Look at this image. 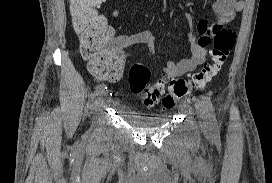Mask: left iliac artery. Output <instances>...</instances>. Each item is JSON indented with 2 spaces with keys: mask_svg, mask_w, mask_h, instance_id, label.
Instances as JSON below:
<instances>
[{
  "mask_svg": "<svg viewBox=\"0 0 272 183\" xmlns=\"http://www.w3.org/2000/svg\"><path fill=\"white\" fill-rule=\"evenodd\" d=\"M203 99V103L205 105V108L207 110L208 113V118L210 120V125H211V129L213 131V133L215 135H218L219 133V128H218V123L216 120V114H215V110H214V106L211 102V100L208 97H202Z\"/></svg>",
  "mask_w": 272,
  "mask_h": 183,
  "instance_id": "44dca946",
  "label": "left iliac artery"
}]
</instances>
